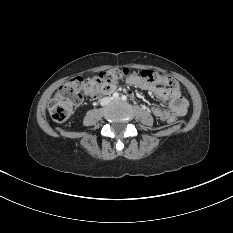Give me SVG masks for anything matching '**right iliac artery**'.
I'll use <instances>...</instances> for the list:
<instances>
[{"instance_id": "right-iliac-artery-1", "label": "right iliac artery", "mask_w": 233, "mask_h": 233, "mask_svg": "<svg viewBox=\"0 0 233 233\" xmlns=\"http://www.w3.org/2000/svg\"><path fill=\"white\" fill-rule=\"evenodd\" d=\"M113 97L114 98H118L119 97V94L117 92L113 93Z\"/></svg>"}]
</instances>
